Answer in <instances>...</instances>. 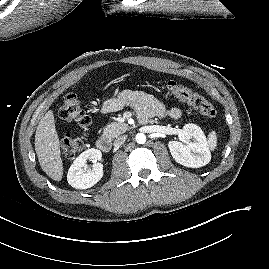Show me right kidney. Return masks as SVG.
Wrapping results in <instances>:
<instances>
[{
  "label": "right kidney",
  "mask_w": 269,
  "mask_h": 269,
  "mask_svg": "<svg viewBox=\"0 0 269 269\" xmlns=\"http://www.w3.org/2000/svg\"><path fill=\"white\" fill-rule=\"evenodd\" d=\"M102 157L98 149H88L82 152L68 170L67 181L76 189H88L94 186L103 177V165L98 163ZM93 162V167L86 170L87 161Z\"/></svg>",
  "instance_id": "right-kidney-1"
}]
</instances>
